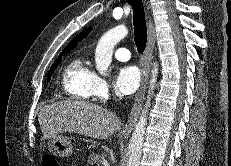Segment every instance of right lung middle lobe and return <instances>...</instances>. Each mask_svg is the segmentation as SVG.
I'll return each instance as SVG.
<instances>
[{"instance_id": "obj_1", "label": "right lung middle lobe", "mask_w": 231, "mask_h": 166, "mask_svg": "<svg viewBox=\"0 0 231 166\" xmlns=\"http://www.w3.org/2000/svg\"><path fill=\"white\" fill-rule=\"evenodd\" d=\"M66 54H68V53H61V54L59 55V58L53 63V65L51 66V68H50V70H49V72H48V75H47L48 81H50L53 72L55 71L56 67L60 64V62H61V60H62L61 57L64 56V55H66Z\"/></svg>"}]
</instances>
